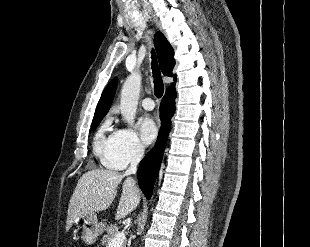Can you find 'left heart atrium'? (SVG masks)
Returning a JSON list of instances; mask_svg holds the SVG:
<instances>
[{"mask_svg": "<svg viewBox=\"0 0 310 247\" xmlns=\"http://www.w3.org/2000/svg\"><path fill=\"white\" fill-rule=\"evenodd\" d=\"M140 132L145 144L151 143L156 138L157 127L151 117L145 116L141 119Z\"/></svg>", "mask_w": 310, "mask_h": 247, "instance_id": "1", "label": "left heart atrium"}]
</instances>
